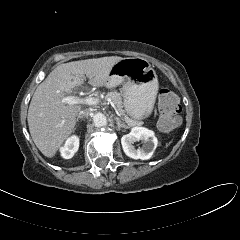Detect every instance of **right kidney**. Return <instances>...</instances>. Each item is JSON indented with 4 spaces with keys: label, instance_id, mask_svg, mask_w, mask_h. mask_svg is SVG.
<instances>
[{
    "label": "right kidney",
    "instance_id": "obj_1",
    "mask_svg": "<svg viewBox=\"0 0 240 240\" xmlns=\"http://www.w3.org/2000/svg\"><path fill=\"white\" fill-rule=\"evenodd\" d=\"M79 148V138L78 136H71L68 138L63 147H61V156L65 159H70L78 151Z\"/></svg>",
    "mask_w": 240,
    "mask_h": 240
}]
</instances>
